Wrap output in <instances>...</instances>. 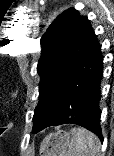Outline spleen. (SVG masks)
Instances as JSON below:
<instances>
[{"mask_svg":"<svg viewBox=\"0 0 114 156\" xmlns=\"http://www.w3.org/2000/svg\"><path fill=\"white\" fill-rule=\"evenodd\" d=\"M74 142L67 156H100V140L90 131L78 127L71 130Z\"/></svg>","mask_w":114,"mask_h":156,"instance_id":"spleen-1","label":"spleen"}]
</instances>
